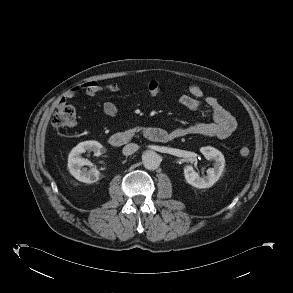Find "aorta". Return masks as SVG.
Wrapping results in <instances>:
<instances>
[{"mask_svg": "<svg viewBox=\"0 0 293 293\" xmlns=\"http://www.w3.org/2000/svg\"><path fill=\"white\" fill-rule=\"evenodd\" d=\"M142 162L146 169L155 170L160 165V156L152 150H146L142 154Z\"/></svg>", "mask_w": 293, "mask_h": 293, "instance_id": "aorta-1", "label": "aorta"}]
</instances>
